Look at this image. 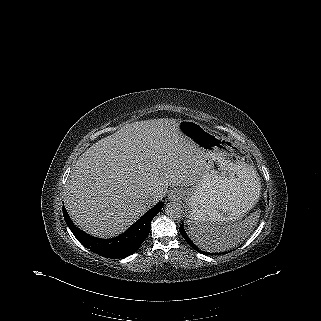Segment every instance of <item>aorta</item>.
Masks as SVG:
<instances>
[{"label":"aorta","instance_id":"1","mask_svg":"<svg viewBox=\"0 0 321 321\" xmlns=\"http://www.w3.org/2000/svg\"><path fill=\"white\" fill-rule=\"evenodd\" d=\"M165 212L172 219H180L184 214V209L180 203L173 201L166 205Z\"/></svg>","mask_w":321,"mask_h":321}]
</instances>
